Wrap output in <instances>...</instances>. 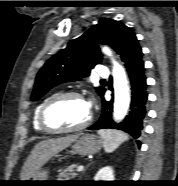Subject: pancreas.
<instances>
[{
    "label": "pancreas",
    "mask_w": 178,
    "mask_h": 186,
    "mask_svg": "<svg viewBox=\"0 0 178 186\" xmlns=\"http://www.w3.org/2000/svg\"><path fill=\"white\" fill-rule=\"evenodd\" d=\"M78 167L77 164H72L62 170L59 175L57 181H70L71 179L76 177L75 169Z\"/></svg>",
    "instance_id": "cf45deb5"
}]
</instances>
